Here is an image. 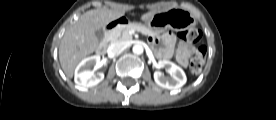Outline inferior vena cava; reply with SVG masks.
<instances>
[{
	"label": "inferior vena cava",
	"instance_id": "inferior-vena-cava-1",
	"mask_svg": "<svg viewBox=\"0 0 276 120\" xmlns=\"http://www.w3.org/2000/svg\"><path fill=\"white\" fill-rule=\"evenodd\" d=\"M125 47V43L124 42H116V43H112L109 47H108V54L110 56H114L117 53H119L123 48Z\"/></svg>",
	"mask_w": 276,
	"mask_h": 120
}]
</instances>
